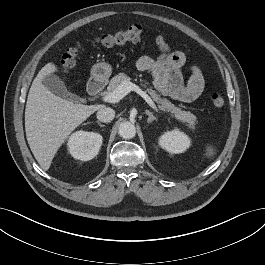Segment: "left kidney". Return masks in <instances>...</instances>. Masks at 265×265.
<instances>
[{"instance_id":"5707ae66","label":"left kidney","mask_w":265,"mask_h":265,"mask_svg":"<svg viewBox=\"0 0 265 265\" xmlns=\"http://www.w3.org/2000/svg\"><path fill=\"white\" fill-rule=\"evenodd\" d=\"M159 145L172 154H179L191 145L190 138L179 129L167 131L159 138Z\"/></svg>"}]
</instances>
